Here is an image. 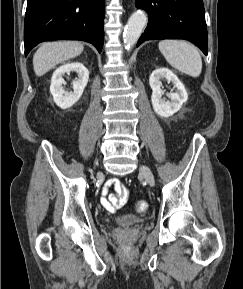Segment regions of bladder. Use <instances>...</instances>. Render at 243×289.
Instances as JSON below:
<instances>
[{"instance_id":"31cf9c89","label":"bladder","mask_w":243,"mask_h":289,"mask_svg":"<svg viewBox=\"0 0 243 289\" xmlns=\"http://www.w3.org/2000/svg\"><path fill=\"white\" fill-rule=\"evenodd\" d=\"M143 221L141 217L131 214L120 215L115 219V223L120 226H132Z\"/></svg>"}]
</instances>
